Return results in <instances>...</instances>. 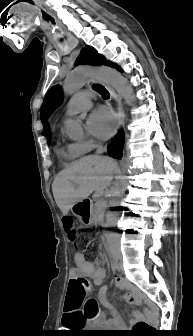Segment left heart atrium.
<instances>
[{"label":"left heart atrium","instance_id":"left-heart-atrium-1","mask_svg":"<svg viewBox=\"0 0 193 336\" xmlns=\"http://www.w3.org/2000/svg\"><path fill=\"white\" fill-rule=\"evenodd\" d=\"M115 119L110 111L100 108L87 119V129L99 139H107L113 132Z\"/></svg>","mask_w":193,"mask_h":336}]
</instances>
